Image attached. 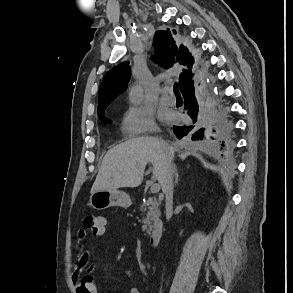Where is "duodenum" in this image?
I'll return each mask as SVG.
<instances>
[{"instance_id":"duodenum-1","label":"duodenum","mask_w":293,"mask_h":293,"mask_svg":"<svg viewBox=\"0 0 293 293\" xmlns=\"http://www.w3.org/2000/svg\"><path fill=\"white\" fill-rule=\"evenodd\" d=\"M164 231V221L161 218H157L152 226L150 233V243L156 247L160 243L161 237Z\"/></svg>"}]
</instances>
